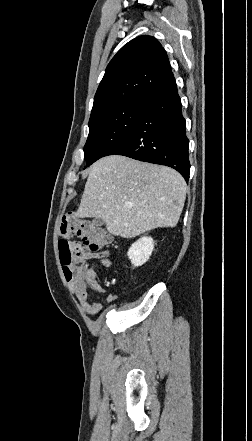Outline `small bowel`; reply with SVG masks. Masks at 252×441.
Here are the masks:
<instances>
[{"label": "small bowel", "mask_w": 252, "mask_h": 441, "mask_svg": "<svg viewBox=\"0 0 252 441\" xmlns=\"http://www.w3.org/2000/svg\"><path fill=\"white\" fill-rule=\"evenodd\" d=\"M82 260L95 259V262L84 265V277L79 283L72 282V287L75 295L77 296L82 308L88 315H97L102 310V304L98 301H92L90 299V291H94L99 294H104L106 300L109 303H113L116 300V296L107 292L99 284L96 277V267L104 266L108 267L111 261L108 259L106 253L95 254L92 252H83L81 254Z\"/></svg>", "instance_id": "1"}]
</instances>
